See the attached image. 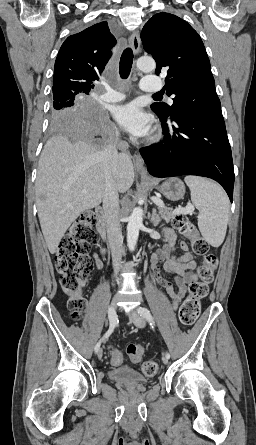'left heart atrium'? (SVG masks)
<instances>
[{
    "mask_svg": "<svg viewBox=\"0 0 256 445\" xmlns=\"http://www.w3.org/2000/svg\"><path fill=\"white\" fill-rule=\"evenodd\" d=\"M116 122L127 132L134 136H146L151 129V118L136 103L117 106L113 110Z\"/></svg>",
    "mask_w": 256,
    "mask_h": 445,
    "instance_id": "left-heart-atrium-1",
    "label": "left heart atrium"
}]
</instances>
